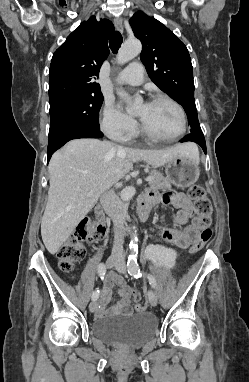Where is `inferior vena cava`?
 <instances>
[{"mask_svg":"<svg viewBox=\"0 0 249 382\" xmlns=\"http://www.w3.org/2000/svg\"><path fill=\"white\" fill-rule=\"evenodd\" d=\"M100 202L106 214L112 219L115 226L114 245L112 249V256L123 257V237L121 230L123 229L126 209L122 205L119 197L115 194L114 190L107 189L100 196Z\"/></svg>","mask_w":249,"mask_h":382,"instance_id":"obj_1","label":"inferior vena cava"}]
</instances>
